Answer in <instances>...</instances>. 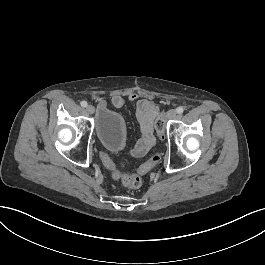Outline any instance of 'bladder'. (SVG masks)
Instances as JSON below:
<instances>
[{
    "label": "bladder",
    "instance_id": "31cf9c89",
    "mask_svg": "<svg viewBox=\"0 0 265 265\" xmlns=\"http://www.w3.org/2000/svg\"><path fill=\"white\" fill-rule=\"evenodd\" d=\"M96 135L100 144L109 151H120L127 143V126L124 117L117 111L104 109L99 112Z\"/></svg>",
    "mask_w": 265,
    "mask_h": 265
}]
</instances>
